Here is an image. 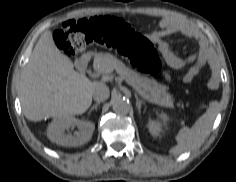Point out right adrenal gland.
Instances as JSON below:
<instances>
[{"mask_svg": "<svg viewBox=\"0 0 236 182\" xmlns=\"http://www.w3.org/2000/svg\"><path fill=\"white\" fill-rule=\"evenodd\" d=\"M99 104H100V102H97L96 104H94V105L91 107V109H90V111H89V114H91V112H92L93 110H96Z\"/></svg>", "mask_w": 236, "mask_h": 182, "instance_id": "obj_1", "label": "right adrenal gland"}]
</instances>
